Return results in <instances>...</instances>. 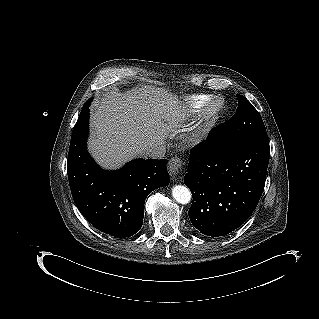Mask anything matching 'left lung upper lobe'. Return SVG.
Masks as SVG:
<instances>
[{
  "mask_svg": "<svg viewBox=\"0 0 319 319\" xmlns=\"http://www.w3.org/2000/svg\"><path fill=\"white\" fill-rule=\"evenodd\" d=\"M238 107L234 116L220 124L215 137L217 142H243L268 139L259 112L242 95H237Z\"/></svg>",
  "mask_w": 319,
  "mask_h": 319,
  "instance_id": "5c2ea615",
  "label": "left lung upper lobe"
}]
</instances>
